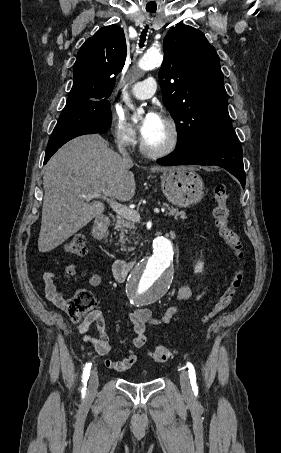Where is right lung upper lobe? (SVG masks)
Listing matches in <instances>:
<instances>
[{
    "label": "right lung upper lobe",
    "instance_id": "1",
    "mask_svg": "<svg viewBox=\"0 0 281 453\" xmlns=\"http://www.w3.org/2000/svg\"><path fill=\"white\" fill-rule=\"evenodd\" d=\"M126 49L123 29L116 25L103 27L88 38L77 54L67 105L110 103L107 99L124 66Z\"/></svg>",
    "mask_w": 281,
    "mask_h": 453
}]
</instances>
